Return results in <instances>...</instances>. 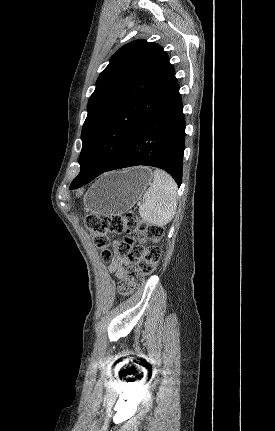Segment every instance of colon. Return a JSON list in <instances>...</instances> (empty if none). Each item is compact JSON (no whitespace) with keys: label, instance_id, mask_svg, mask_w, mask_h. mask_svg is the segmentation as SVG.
<instances>
[{"label":"colon","instance_id":"obj_1","mask_svg":"<svg viewBox=\"0 0 275 431\" xmlns=\"http://www.w3.org/2000/svg\"><path fill=\"white\" fill-rule=\"evenodd\" d=\"M84 224L105 260H110L114 252L127 258L128 267L118 284L120 294H131L137 285L154 273L161 257L156 244L164 234L161 225L145 223L133 213L90 214L85 217ZM111 234L124 235L114 249L110 247Z\"/></svg>","mask_w":275,"mask_h":431}]
</instances>
